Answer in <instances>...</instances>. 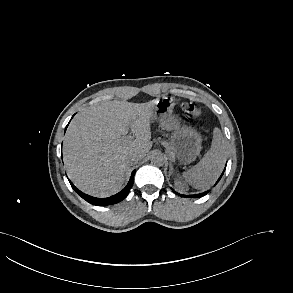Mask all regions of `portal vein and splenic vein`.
<instances>
[{"mask_svg": "<svg viewBox=\"0 0 293 293\" xmlns=\"http://www.w3.org/2000/svg\"><path fill=\"white\" fill-rule=\"evenodd\" d=\"M131 138H132L131 135L126 136V139H131Z\"/></svg>", "mask_w": 293, "mask_h": 293, "instance_id": "18ae733b", "label": "portal vein and splenic vein"}]
</instances>
